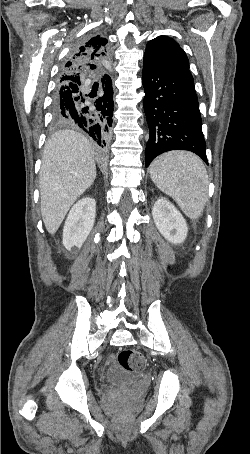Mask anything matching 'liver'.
Returning a JSON list of instances; mask_svg holds the SVG:
<instances>
[{
  "label": "liver",
  "mask_w": 250,
  "mask_h": 454,
  "mask_svg": "<svg viewBox=\"0 0 250 454\" xmlns=\"http://www.w3.org/2000/svg\"><path fill=\"white\" fill-rule=\"evenodd\" d=\"M95 178L94 151L85 136L60 130L48 139L39 187L42 219L49 234L57 232L70 207Z\"/></svg>",
  "instance_id": "obj_1"
}]
</instances>
